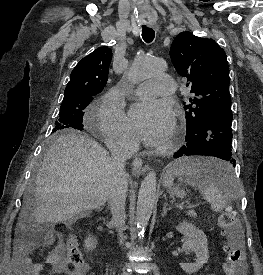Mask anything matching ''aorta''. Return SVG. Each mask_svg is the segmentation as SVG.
Listing matches in <instances>:
<instances>
[{
    "instance_id": "aorta-1",
    "label": "aorta",
    "mask_w": 263,
    "mask_h": 275,
    "mask_svg": "<svg viewBox=\"0 0 263 275\" xmlns=\"http://www.w3.org/2000/svg\"><path fill=\"white\" fill-rule=\"evenodd\" d=\"M166 64L163 60L151 57L138 58L132 64L126 78L132 85L138 84L143 80L164 71ZM156 173L152 170L141 183L137 208H136V225L138 236H144L145 229L148 225L156 200Z\"/></svg>"
}]
</instances>
